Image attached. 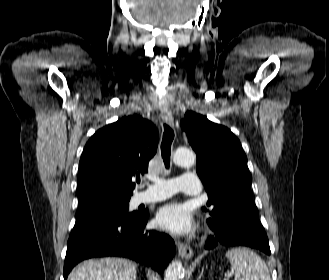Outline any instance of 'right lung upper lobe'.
<instances>
[{
  "instance_id": "right-lung-upper-lobe-1",
  "label": "right lung upper lobe",
  "mask_w": 329,
  "mask_h": 280,
  "mask_svg": "<svg viewBox=\"0 0 329 280\" xmlns=\"http://www.w3.org/2000/svg\"><path fill=\"white\" fill-rule=\"evenodd\" d=\"M158 146V132L138 115L99 129L88 140L79 163L78 200L95 197H131L133 177L146 172Z\"/></svg>"
}]
</instances>
